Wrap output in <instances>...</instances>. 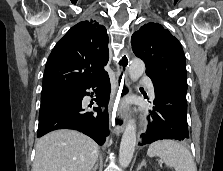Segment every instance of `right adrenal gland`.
Returning a JSON list of instances; mask_svg holds the SVG:
<instances>
[{"mask_svg":"<svg viewBox=\"0 0 223 171\" xmlns=\"http://www.w3.org/2000/svg\"><path fill=\"white\" fill-rule=\"evenodd\" d=\"M97 168H98V161H97V163L95 164L94 168H92L91 171H97Z\"/></svg>","mask_w":223,"mask_h":171,"instance_id":"1","label":"right adrenal gland"}]
</instances>
